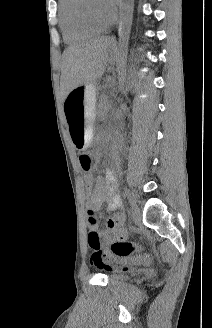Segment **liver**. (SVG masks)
Returning a JSON list of instances; mask_svg holds the SVG:
<instances>
[{
  "label": "liver",
  "mask_w": 212,
  "mask_h": 328,
  "mask_svg": "<svg viewBox=\"0 0 212 328\" xmlns=\"http://www.w3.org/2000/svg\"><path fill=\"white\" fill-rule=\"evenodd\" d=\"M110 39L100 37L63 53L61 90L64 98L76 87L93 83L105 72Z\"/></svg>",
  "instance_id": "1"
}]
</instances>
